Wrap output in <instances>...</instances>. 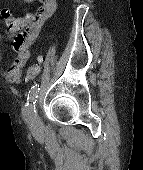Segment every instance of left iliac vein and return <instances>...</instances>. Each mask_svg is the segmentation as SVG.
<instances>
[{
  "label": "left iliac vein",
  "mask_w": 143,
  "mask_h": 170,
  "mask_svg": "<svg viewBox=\"0 0 143 170\" xmlns=\"http://www.w3.org/2000/svg\"><path fill=\"white\" fill-rule=\"evenodd\" d=\"M40 124V120L39 117L37 116V114H33L30 120V125L33 127H37Z\"/></svg>",
  "instance_id": "obj_1"
}]
</instances>
